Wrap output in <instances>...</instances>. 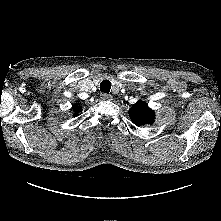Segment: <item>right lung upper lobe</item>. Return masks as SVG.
I'll return each instance as SVG.
<instances>
[{
	"label": "right lung upper lobe",
	"mask_w": 221,
	"mask_h": 221,
	"mask_svg": "<svg viewBox=\"0 0 221 221\" xmlns=\"http://www.w3.org/2000/svg\"><path fill=\"white\" fill-rule=\"evenodd\" d=\"M80 108L81 107L78 106L77 104L72 107V110L75 112L74 116H76L78 114L77 112L80 110Z\"/></svg>",
	"instance_id": "obj_1"
}]
</instances>
